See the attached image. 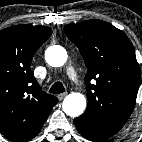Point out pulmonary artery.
<instances>
[{"mask_svg": "<svg viewBox=\"0 0 142 142\" xmlns=\"http://www.w3.org/2000/svg\"><path fill=\"white\" fill-rule=\"evenodd\" d=\"M67 75L68 77L72 80V81H76L77 80V73L75 71V69L72 66H69L67 68Z\"/></svg>", "mask_w": 142, "mask_h": 142, "instance_id": "1", "label": "pulmonary artery"}]
</instances>
